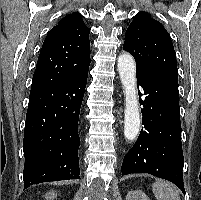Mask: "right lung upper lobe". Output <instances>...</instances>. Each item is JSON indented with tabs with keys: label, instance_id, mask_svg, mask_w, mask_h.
<instances>
[{
	"label": "right lung upper lobe",
	"instance_id": "1",
	"mask_svg": "<svg viewBox=\"0 0 201 200\" xmlns=\"http://www.w3.org/2000/svg\"><path fill=\"white\" fill-rule=\"evenodd\" d=\"M89 33L80 13L62 18L44 40L31 91L55 86L81 74L90 64Z\"/></svg>",
	"mask_w": 201,
	"mask_h": 200
}]
</instances>
